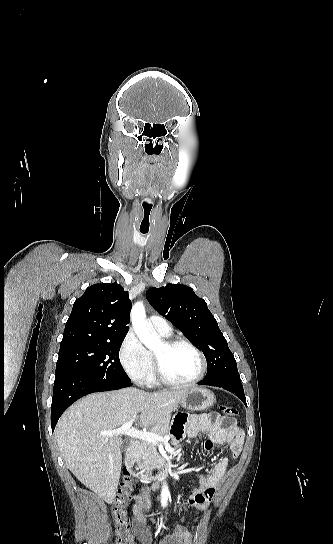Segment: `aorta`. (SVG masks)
Listing matches in <instances>:
<instances>
[{
    "mask_svg": "<svg viewBox=\"0 0 333 544\" xmlns=\"http://www.w3.org/2000/svg\"><path fill=\"white\" fill-rule=\"evenodd\" d=\"M131 321L137 337L148 349L155 350L162 346L163 343L160 336L148 327L145 308L142 302H137L133 305ZM169 495V489L167 485H164L161 491V504L163 506L167 505Z\"/></svg>",
    "mask_w": 333,
    "mask_h": 544,
    "instance_id": "aorta-1",
    "label": "aorta"
}]
</instances>
